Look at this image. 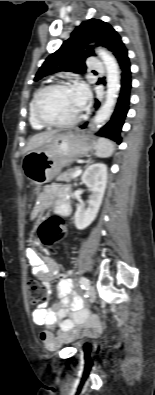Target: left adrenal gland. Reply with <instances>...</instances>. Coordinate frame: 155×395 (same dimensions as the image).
<instances>
[{"mask_svg": "<svg viewBox=\"0 0 155 395\" xmlns=\"http://www.w3.org/2000/svg\"><path fill=\"white\" fill-rule=\"evenodd\" d=\"M93 161L92 160H89L87 163V165H86V167L89 165V164H91Z\"/></svg>", "mask_w": 155, "mask_h": 395, "instance_id": "a2214340", "label": "left adrenal gland"}]
</instances>
